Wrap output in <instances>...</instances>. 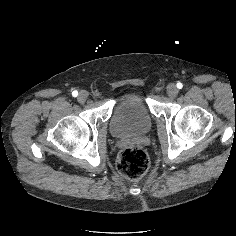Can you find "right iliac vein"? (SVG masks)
Wrapping results in <instances>:
<instances>
[{
    "label": "right iliac vein",
    "instance_id": "1",
    "mask_svg": "<svg viewBox=\"0 0 236 236\" xmlns=\"http://www.w3.org/2000/svg\"><path fill=\"white\" fill-rule=\"evenodd\" d=\"M89 93L85 90L80 91L78 95V102L79 103H84L88 99Z\"/></svg>",
    "mask_w": 236,
    "mask_h": 236
}]
</instances>
